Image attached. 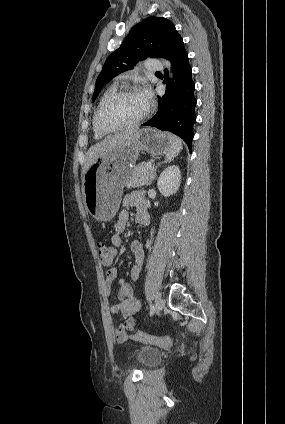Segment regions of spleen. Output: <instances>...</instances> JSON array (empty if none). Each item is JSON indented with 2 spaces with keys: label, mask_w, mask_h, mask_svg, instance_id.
Returning a JSON list of instances; mask_svg holds the SVG:
<instances>
[{
  "label": "spleen",
  "mask_w": 285,
  "mask_h": 424,
  "mask_svg": "<svg viewBox=\"0 0 285 424\" xmlns=\"http://www.w3.org/2000/svg\"><path fill=\"white\" fill-rule=\"evenodd\" d=\"M182 149H183V145H182L181 139L174 136L172 147L167 153L166 159L172 160L175 156H177L180 153Z\"/></svg>",
  "instance_id": "obj_1"
}]
</instances>
